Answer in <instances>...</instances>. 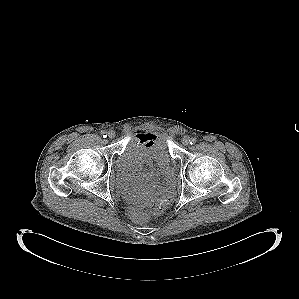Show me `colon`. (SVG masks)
<instances>
[{"instance_id": "colon-1", "label": "colon", "mask_w": 299, "mask_h": 299, "mask_svg": "<svg viewBox=\"0 0 299 299\" xmlns=\"http://www.w3.org/2000/svg\"><path fill=\"white\" fill-rule=\"evenodd\" d=\"M171 201V198H166L162 200V202L157 205L151 212L150 214L152 215H160L164 212L167 204ZM127 211L129 215L134 218V219H141L143 218L147 213L144 210H136L134 207L131 205H127Z\"/></svg>"}]
</instances>
